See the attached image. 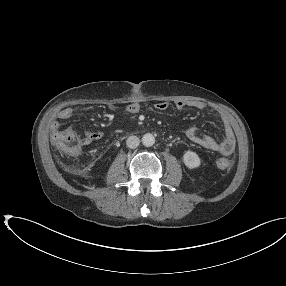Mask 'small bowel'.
I'll return each mask as SVG.
<instances>
[{
	"label": "small bowel",
	"instance_id": "small-bowel-1",
	"mask_svg": "<svg viewBox=\"0 0 286 286\" xmlns=\"http://www.w3.org/2000/svg\"><path fill=\"white\" fill-rule=\"evenodd\" d=\"M174 106L177 110H183L186 107H191L196 110H203L205 108V105L199 101L185 102L183 100H178L175 102ZM155 108L159 111H165L169 108V103L165 101L158 102L155 104ZM140 109V102L135 100L127 105L125 111L130 114H136ZM73 115L74 110L71 107H64L58 112L57 117L60 120H69ZM222 125L224 129V138L222 141H217L210 136L200 133L199 129L195 127L188 129L185 135L187 139L195 145L227 156L234 151L236 140L231 122L227 117H222ZM60 127L61 125L59 121H53L50 125L51 136H53L57 131H60ZM85 137L87 139V143H92L101 140L103 138V133L100 131H89L85 133Z\"/></svg>",
	"mask_w": 286,
	"mask_h": 286
}]
</instances>
